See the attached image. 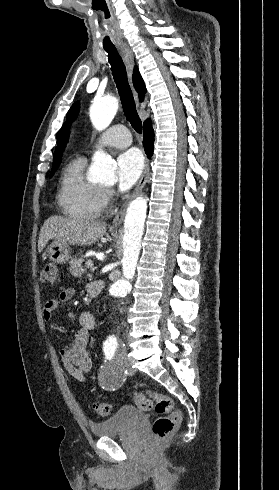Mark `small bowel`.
<instances>
[{"mask_svg":"<svg viewBox=\"0 0 279 490\" xmlns=\"http://www.w3.org/2000/svg\"><path fill=\"white\" fill-rule=\"evenodd\" d=\"M90 293L96 292V286L89 287ZM75 295L71 288L60 292L56 297L49 299L44 305L43 317L46 321L52 318L53 312L70 301ZM81 329L76 332L71 342L60 351V358L66 373L80 381H84V374L91 369V358L87 351L90 331L96 328V321L89 312H81L78 316Z\"/></svg>","mask_w":279,"mask_h":490,"instance_id":"obj_1","label":"small bowel"}]
</instances>
